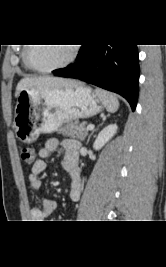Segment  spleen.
Masks as SVG:
<instances>
[{"label": "spleen", "instance_id": "obj_1", "mask_svg": "<svg viewBox=\"0 0 166 267\" xmlns=\"http://www.w3.org/2000/svg\"><path fill=\"white\" fill-rule=\"evenodd\" d=\"M96 94L102 101L107 111L114 113L118 110L119 101L115 95L99 89L96 90Z\"/></svg>", "mask_w": 166, "mask_h": 267}]
</instances>
